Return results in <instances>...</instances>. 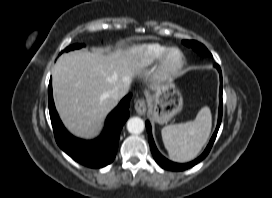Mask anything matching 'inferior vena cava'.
<instances>
[{
	"label": "inferior vena cava",
	"instance_id": "inferior-vena-cava-1",
	"mask_svg": "<svg viewBox=\"0 0 272 198\" xmlns=\"http://www.w3.org/2000/svg\"><path fill=\"white\" fill-rule=\"evenodd\" d=\"M128 92V88L125 86L123 88H118L115 87L111 92H110V97H112L113 99L117 100L119 99L121 96L125 95Z\"/></svg>",
	"mask_w": 272,
	"mask_h": 198
}]
</instances>
